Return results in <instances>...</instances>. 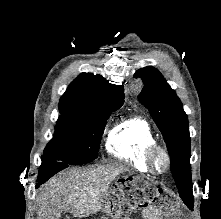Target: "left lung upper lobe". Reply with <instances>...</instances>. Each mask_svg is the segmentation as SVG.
<instances>
[{"label":"left lung upper lobe","mask_w":221,"mask_h":219,"mask_svg":"<svg viewBox=\"0 0 221 219\" xmlns=\"http://www.w3.org/2000/svg\"><path fill=\"white\" fill-rule=\"evenodd\" d=\"M141 77L145 87L139 101L149 110L171 157V173L184 203L192 210L190 167V134L188 118L175 91L166 83L162 74L152 66L139 69L134 77Z\"/></svg>","instance_id":"left-lung-upper-lobe-1"}]
</instances>
